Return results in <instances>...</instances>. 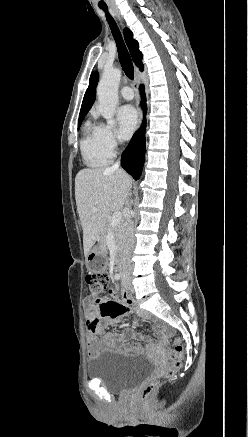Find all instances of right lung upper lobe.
Segmentation results:
<instances>
[{"mask_svg":"<svg viewBox=\"0 0 248 437\" xmlns=\"http://www.w3.org/2000/svg\"><path fill=\"white\" fill-rule=\"evenodd\" d=\"M124 37L128 45V48L130 50V53L132 55L133 61L140 68V70L143 71L144 66L142 63V53L138 49V42L133 39L132 32L127 28L124 30ZM97 82H98V72H93L89 80V87L87 88L86 93L84 95L79 118L85 117V115L93 105L96 97Z\"/></svg>","mask_w":248,"mask_h":437,"instance_id":"1","label":"right lung upper lobe"}]
</instances>
